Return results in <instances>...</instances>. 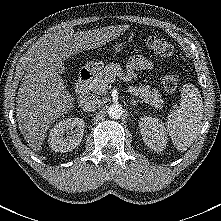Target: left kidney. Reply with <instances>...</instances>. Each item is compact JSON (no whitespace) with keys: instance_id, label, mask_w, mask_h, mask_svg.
I'll list each match as a JSON object with an SVG mask.
<instances>
[{"instance_id":"obj_1","label":"left kidney","mask_w":221,"mask_h":221,"mask_svg":"<svg viewBox=\"0 0 221 221\" xmlns=\"http://www.w3.org/2000/svg\"><path fill=\"white\" fill-rule=\"evenodd\" d=\"M139 128L145 144L155 150L163 151L167 144V137L164 123L153 117H142L139 121Z\"/></svg>"}]
</instances>
